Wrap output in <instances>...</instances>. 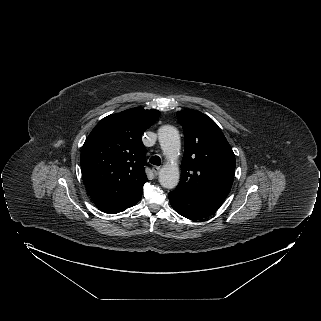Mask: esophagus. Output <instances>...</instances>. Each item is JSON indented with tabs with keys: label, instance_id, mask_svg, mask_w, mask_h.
Masks as SVG:
<instances>
[{
	"label": "esophagus",
	"instance_id": "1",
	"mask_svg": "<svg viewBox=\"0 0 321 321\" xmlns=\"http://www.w3.org/2000/svg\"><path fill=\"white\" fill-rule=\"evenodd\" d=\"M160 169H161V168H160L159 166H153V167H152V171H153V173H154L155 176L159 175Z\"/></svg>",
	"mask_w": 321,
	"mask_h": 321
}]
</instances>
